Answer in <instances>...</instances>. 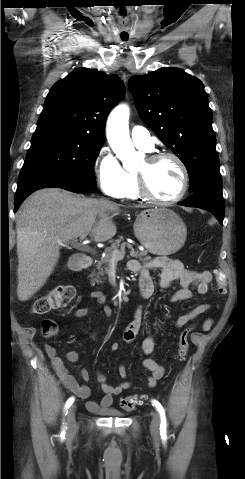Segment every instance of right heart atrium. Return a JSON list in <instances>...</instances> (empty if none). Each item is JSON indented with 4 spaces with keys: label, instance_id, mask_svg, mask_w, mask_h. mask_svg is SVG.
Masks as SVG:
<instances>
[{
    "label": "right heart atrium",
    "instance_id": "d8ad5b80",
    "mask_svg": "<svg viewBox=\"0 0 245 479\" xmlns=\"http://www.w3.org/2000/svg\"><path fill=\"white\" fill-rule=\"evenodd\" d=\"M96 173L103 193L110 197H120L126 184V173L109 149H104L100 153L96 163Z\"/></svg>",
    "mask_w": 245,
    "mask_h": 479
}]
</instances>
